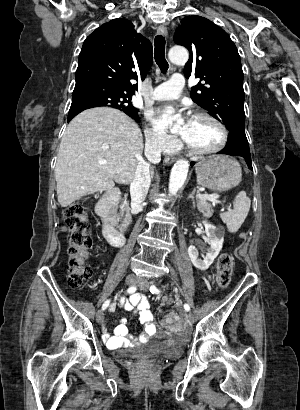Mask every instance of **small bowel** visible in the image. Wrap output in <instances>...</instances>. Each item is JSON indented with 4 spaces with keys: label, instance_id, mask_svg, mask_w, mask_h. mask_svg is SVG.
<instances>
[{
    "label": "small bowel",
    "instance_id": "obj_1",
    "mask_svg": "<svg viewBox=\"0 0 300 410\" xmlns=\"http://www.w3.org/2000/svg\"><path fill=\"white\" fill-rule=\"evenodd\" d=\"M119 306L125 311L134 312L137 314L139 322L144 326V330L137 337H131L125 320H122L113 331V335L104 333V341L109 348H118L145 342L148 338L157 334V326L154 323V317L149 310V302L146 296L136 293L128 299H120ZM116 309V304L110 306V311Z\"/></svg>",
    "mask_w": 300,
    "mask_h": 410
}]
</instances>
